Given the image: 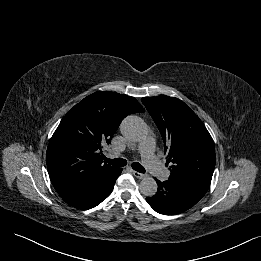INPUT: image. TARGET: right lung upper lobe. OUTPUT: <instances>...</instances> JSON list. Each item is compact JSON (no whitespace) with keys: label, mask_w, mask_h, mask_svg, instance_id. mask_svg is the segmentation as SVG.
<instances>
[{"label":"right lung upper lobe","mask_w":261,"mask_h":261,"mask_svg":"<svg viewBox=\"0 0 261 261\" xmlns=\"http://www.w3.org/2000/svg\"><path fill=\"white\" fill-rule=\"evenodd\" d=\"M142 112L133 97L97 91L64 116L46 153L50 179L61 197L95 184L116 169L102 163L103 145L110 143L124 117Z\"/></svg>","instance_id":"1"}]
</instances>
